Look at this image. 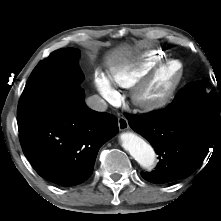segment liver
Segmentation results:
<instances>
[{
  "label": "liver",
  "mask_w": 221,
  "mask_h": 221,
  "mask_svg": "<svg viewBox=\"0 0 221 221\" xmlns=\"http://www.w3.org/2000/svg\"><path fill=\"white\" fill-rule=\"evenodd\" d=\"M130 54V51L128 47H121L118 49H115L109 56L108 61L109 62H117L122 61Z\"/></svg>",
  "instance_id": "1"
}]
</instances>
